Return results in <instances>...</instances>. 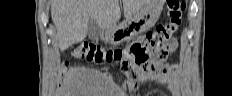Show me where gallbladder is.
Masks as SVG:
<instances>
[{
	"instance_id": "bac80fb5",
	"label": "gallbladder",
	"mask_w": 232,
	"mask_h": 96,
	"mask_svg": "<svg viewBox=\"0 0 232 96\" xmlns=\"http://www.w3.org/2000/svg\"><path fill=\"white\" fill-rule=\"evenodd\" d=\"M102 35V29L98 25L97 21L91 17L88 20L87 36L89 39L98 40Z\"/></svg>"
}]
</instances>
